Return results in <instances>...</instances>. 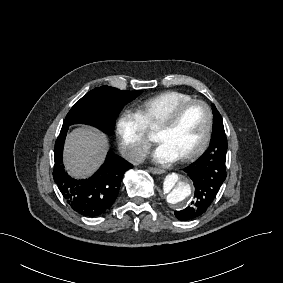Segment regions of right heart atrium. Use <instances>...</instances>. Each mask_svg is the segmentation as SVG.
<instances>
[{"label": "right heart atrium", "instance_id": "d8ad5b80", "mask_svg": "<svg viewBox=\"0 0 283 283\" xmlns=\"http://www.w3.org/2000/svg\"><path fill=\"white\" fill-rule=\"evenodd\" d=\"M115 132L124 158L131 163L139 162L150 146L143 119L125 108L116 121Z\"/></svg>", "mask_w": 283, "mask_h": 283}]
</instances>
